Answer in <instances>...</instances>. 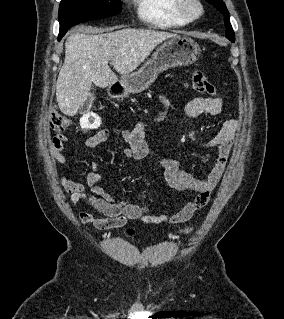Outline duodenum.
<instances>
[{
	"mask_svg": "<svg viewBox=\"0 0 284 319\" xmlns=\"http://www.w3.org/2000/svg\"><path fill=\"white\" fill-rule=\"evenodd\" d=\"M113 94L116 95V96H119V95L123 94V89L115 90V91L113 92Z\"/></svg>",
	"mask_w": 284,
	"mask_h": 319,
	"instance_id": "1",
	"label": "duodenum"
}]
</instances>
